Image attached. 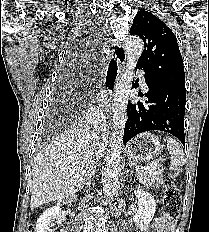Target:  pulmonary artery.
<instances>
[{"label":"pulmonary artery","mask_w":209,"mask_h":232,"mask_svg":"<svg viewBox=\"0 0 209 232\" xmlns=\"http://www.w3.org/2000/svg\"><path fill=\"white\" fill-rule=\"evenodd\" d=\"M138 73H139V75H140V77H141L143 89H147V85H146V83H145V80H144L143 77H142V72H138Z\"/></svg>","instance_id":"e3ab8cb5"}]
</instances>
